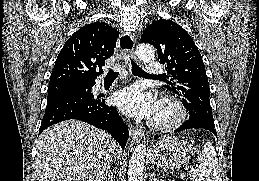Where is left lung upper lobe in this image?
Returning <instances> with one entry per match:
<instances>
[{
    "mask_svg": "<svg viewBox=\"0 0 259 181\" xmlns=\"http://www.w3.org/2000/svg\"><path fill=\"white\" fill-rule=\"evenodd\" d=\"M141 41L153 45L166 65L171 80L163 87L181 99L191 118L213 121L205 66L191 36L177 23L159 19L145 29Z\"/></svg>",
    "mask_w": 259,
    "mask_h": 181,
    "instance_id": "1",
    "label": "left lung upper lobe"
}]
</instances>
